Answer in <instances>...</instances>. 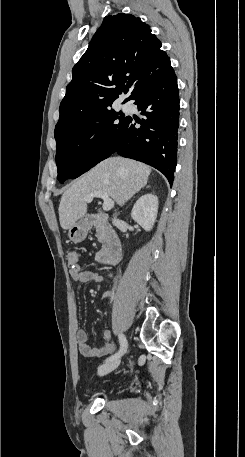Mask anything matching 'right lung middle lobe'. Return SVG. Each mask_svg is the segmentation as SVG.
I'll list each match as a JSON object with an SVG mask.
<instances>
[{"instance_id":"dd1d6c3e","label":"right lung middle lobe","mask_w":245,"mask_h":457,"mask_svg":"<svg viewBox=\"0 0 245 457\" xmlns=\"http://www.w3.org/2000/svg\"><path fill=\"white\" fill-rule=\"evenodd\" d=\"M111 106L55 129L57 178L60 183L79 177L113 153L126 116L121 111L110 109Z\"/></svg>"}]
</instances>
